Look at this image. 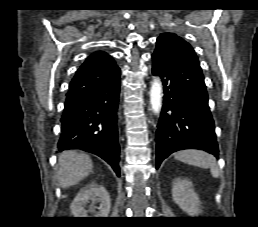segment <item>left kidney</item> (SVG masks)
Here are the masks:
<instances>
[{
	"label": "left kidney",
	"mask_w": 258,
	"mask_h": 227,
	"mask_svg": "<svg viewBox=\"0 0 258 227\" xmlns=\"http://www.w3.org/2000/svg\"><path fill=\"white\" fill-rule=\"evenodd\" d=\"M172 197L174 202L188 215L201 213L200 200L192 183L186 179H176L173 182Z\"/></svg>",
	"instance_id": "5707ae66"
}]
</instances>
